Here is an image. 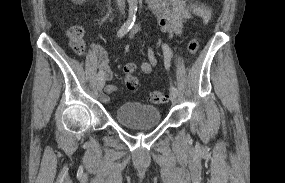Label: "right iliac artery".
I'll use <instances>...</instances> for the list:
<instances>
[{
	"instance_id": "right-iliac-artery-1",
	"label": "right iliac artery",
	"mask_w": 285,
	"mask_h": 183,
	"mask_svg": "<svg viewBox=\"0 0 285 183\" xmlns=\"http://www.w3.org/2000/svg\"><path fill=\"white\" fill-rule=\"evenodd\" d=\"M135 13L136 10L135 9H131L130 13H129V18L128 20L122 25V27L119 29V31L117 32V36L118 37H123L134 25L135 22ZM98 79L103 78L104 75L101 71L98 72Z\"/></svg>"
}]
</instances>
